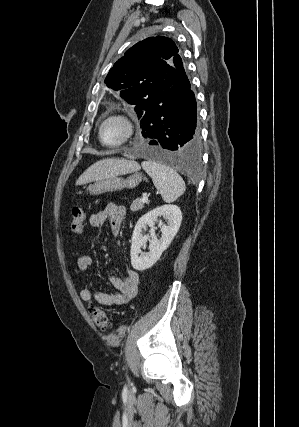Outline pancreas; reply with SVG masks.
Returning a JSON list of instances; mask_svg holds the SVG:
<instances>
[{"mask_svg":"<svg viewBox=\"0 0 299 427\" xmlns=\"http://www.w3.org/2000/svg\"><path fill=\"white\" fill-rule=\"evenodd\" d=\"M145 204H148V202H143L141 198H137L132 202L130 209L131 211L136 212L144 208Z\"/></svg>","mask_w":299,"mask_h":427,"instance_id":"pancreas-1","label":"pancreas"}]
</instances>
